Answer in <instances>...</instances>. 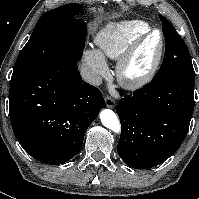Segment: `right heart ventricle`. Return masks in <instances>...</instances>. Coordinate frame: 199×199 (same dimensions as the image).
<instances>
[{"mask_svg": "<svg viewBox=\"0 0 199 199\" xmlns=\"http://www.w3.org/2000/svg\"><path fill=\"white\" fill-rule=\"evenodd\" d=\"M149 29V23L142 20L110 23L98 32L95 43L103 56L118 60L133 41Z\"/></svg>", "mask_w": 199, "mask_h": 199, "instance_id": "1", "label": "right heart ventricle"}]
</instances>
